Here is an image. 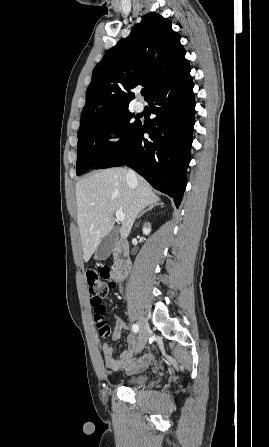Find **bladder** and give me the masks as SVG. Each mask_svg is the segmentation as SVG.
Returning <instances> with one entry per match:
<instances>
[{"label": "bladder", "instance_id": "31cf9c89", "mask_svg": "<svg viewBox=\"0 0 269 447\" xmlns=\"http://www.w3.org/2000/svg\"><path fill=\"white\" fill-rule=\"evenodd\" d=\"M154 377L153 373L150 371L135 373L130 375L127 380L133 386L145 385L147 382Z\"/></svg>", "mask_w": 269, "mask_h": 447}]
</instances>
